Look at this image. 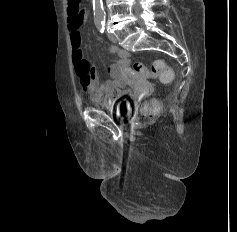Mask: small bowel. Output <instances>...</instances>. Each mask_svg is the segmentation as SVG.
<instances>
[{"label":"small bowel","mask_w":237,"mask_h":232,"mask_svg":"<svg viewBox=\"0 0 237 232\" xmlns=\"http://www.w3.org/2000/svg\"><path fill=\"white\" fill-rule=\"evenodd\" d=\"M84 21L85 15L82 17L69 16L68 19L72 60L76 73L80 78L82 89L90 96L92 101H103L106 104H112L119 100L125 91L123 75L128 70L129 54L115 45L109 47V52L114 56L113 63L108 67L110 80L100 84L96 69L90 66L81 48L80 28Z\"/></svg>","instance_id":"obj_1"}]
</instances>
